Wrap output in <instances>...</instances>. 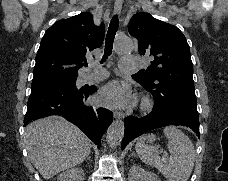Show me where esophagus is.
<instances>
[{"instance_id": "34e87169", "label": "esophagus", "mask_w": 228, "mask_h": 181, "mask_svg": "<svg viewBox=\"0 0 228 181\" xmlns=\"http://www.w3.org/2000/svg\"><path fill=\"white\" fill-rule=\"evenodd\" d=\"M122 8V0H116L114 4V12L119 13ZM114 118H124V113L122 111H114Z\"/></svg>"}]
</instances>
